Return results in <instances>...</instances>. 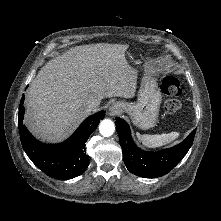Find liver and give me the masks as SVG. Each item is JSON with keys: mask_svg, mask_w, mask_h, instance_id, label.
Instances as JSON below:
<instances>
[{"mask_svg": "<svg viewBox=\"0 0 221 221\" xmlns=\"http://www.w3.org/2000/svg\"><path fill=\"white\" fill-rule=\"evenodd\" d=\"M128 45L92 44L71 48L41 68L26 97L25 123L38 138L58 142L89 114L91 100L132 98L136 74L125 52Z\"/></svg>", "mask_w": 221, "mask_h": 221, "instance_id": "liver-1", "label": "liver"}]
</instances>
